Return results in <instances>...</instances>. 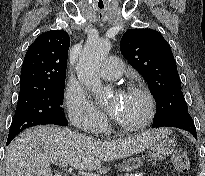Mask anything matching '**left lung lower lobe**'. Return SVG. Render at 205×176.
<instances>
[{"label":"left lung lower lobe","mask_w":205,"mask_h":176,"mask_svg":"<svg viewBox=\"0 0 205 176\" xmlns=\"http://www.w3.org/2000/svg\"><path fill=\"white\" fill-rule=\"evenodd\" d=\"M153 127H176L189 131L196 138L194 121L188 111H184L161 123H153Z\"/></svg>","instance_id":"left-lung-lower-lobe-1"}]
</instances>
